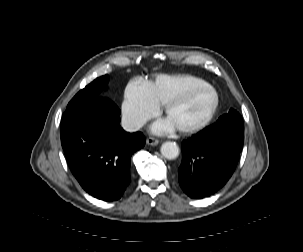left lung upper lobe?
Returning a JSON list of instances; mask_svg holds the SVG:
<instances>
[{
    "mask_svg": "<svg viewBox=\"0 0 303 252\" xmlns=\"http://www.w3.org/2000/svg\"><path fill=\"white\" fill-rule=\"evenodd\" d=\"M206 133L214 132H244L241 115L234 109H230L228 114L221 116L216 123L203 130Z\"/></svg>",
    "mask_w": 303,
    "mask_h": 252,
    "instance_id": "1",
    "label": "left lung upper lobe"
}]
</instances>
